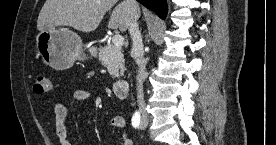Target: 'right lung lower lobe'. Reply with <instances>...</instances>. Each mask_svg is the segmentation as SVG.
I'll use <instances>...</instances> for the list:
<instances>
[{
  "mask_svg": "<svg viewBox=\"0 0 276 145\" xmlns=\"http://www.w3.org/2000/svg\"><path fill=\"white\" fill-rule=\"evenodd\" d=\"M148 9L154 11L160 18L164 19L167 13L166 0H137Z\"/></svg>",
  "mask_w": 276,
  "mask_h": 145,
  "instance_id": "1",
  "label": "right lung lower lobe"
}]
</instances>
